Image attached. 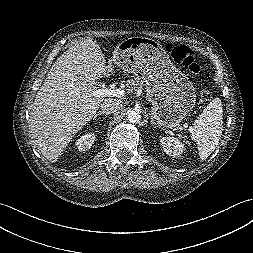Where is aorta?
Segmentation results:
<instances>
[{
  "label": "aorta",
  "mask_w": 253,
  "mask_h": 253,
  "mask_svg": "<svg viewBox=\"0 0 253 253\" xmlns=\"http://www.w3.org/2000/svg\"><path fill=\"white\" fill-rule=\"evenodd\" d=\"M127 118L131 123H138L141 119V115L138 111L132 110L128 113Z\"/></svg>",
  "instance_id": "762f6f07"
}]
</instances>
